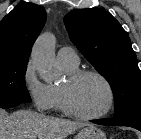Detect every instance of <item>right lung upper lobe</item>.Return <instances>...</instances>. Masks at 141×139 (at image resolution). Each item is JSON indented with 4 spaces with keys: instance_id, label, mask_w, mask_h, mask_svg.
Wrapping results in <instances>:
<instances>
[{
    "instance_id": "cb5924a9",
    "label": "right lung upper lobe",
    "mask_w": 141,
    "mask_h": 139,
    "mask_svg": "<svg viewBox=\"0 0 141 139\" xmlns=\"http://www.w3.org/2000/svg\"><path fill=\"white\" fill-rule=\"evenodd\" d=\"M45 22L42 6L18 4L0 22V63H28L32 45Z\"/></svg>"
}]
</instances>
